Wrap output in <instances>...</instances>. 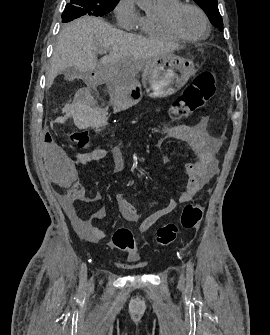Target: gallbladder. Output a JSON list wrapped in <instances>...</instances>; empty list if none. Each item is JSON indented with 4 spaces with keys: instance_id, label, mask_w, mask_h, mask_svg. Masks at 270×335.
Here are the masks:
<instances>
[{
    "instance_id": "gallbladder-1",
    "label": "gallbladder",
    "mask_w": 270,
    "mask_h": 335,
    "mask_svg": "<svg viewBox=\"0 0 270 335\" xmlns=\"http://www.w3.org/2000/svg\"><path fill=\"white\" fill-rule=\"evenodd\" d=\"M63 72L66 80H70V82H72V80H76V78H80V80H84V78H86L85 72H79V70H75V68H65Z\"/></svg>"
}]
</instances>
